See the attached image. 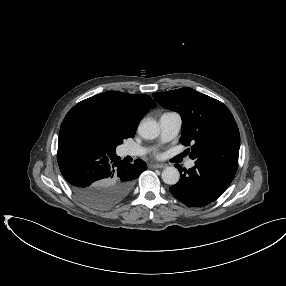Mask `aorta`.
<instances>
[{
	"instance_id": "obj_1",
	"label": "aorta",
	"mask_w": 286,
	"mask_h": 286,
	"mask_svg": "<svg viewBox=\"0 0 286 286\" xmlns=\"http://www.w3.org/2000/svg\"><path fill=\"white\" fill-rule=\"evenodd\" d=\"M139 135L147 140L155 139L160 134V127L158 123L150 118L144 119L140 122L138 126ZM162 180L168 185H175L178 183L180 174L177 168L175 167H166L162 171Z\"/></svg>"
}]
</instances>
